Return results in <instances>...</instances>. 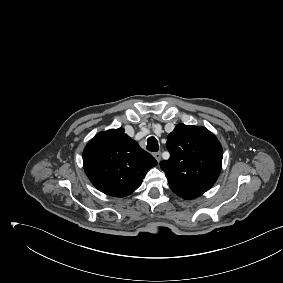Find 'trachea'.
Returning <instances> with one entry per match:
<instances>
[{
	"instance_id": "trachea-1",
	"label": "trachea",
	"mask_w": 283,
	"mask_h": 283,
	"mask_svg": "<svg viewBox=\"0 0 283 283\" xmlns=\"http://www.w3.org/2000/svg\"><path fill=\"white\" fill-rule=\"evenodd\" d=\"M147 150L151 152H157L159 150L158 141L155 137H149L147 139Z\"/></svg>"
}]
</instances>
